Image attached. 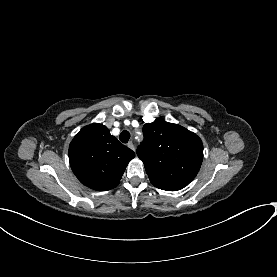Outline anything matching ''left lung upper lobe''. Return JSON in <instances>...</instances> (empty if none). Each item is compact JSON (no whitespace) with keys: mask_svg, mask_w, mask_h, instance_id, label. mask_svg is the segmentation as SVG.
I'll use <instances>...</instances> for the list:
<instances>
[{"mask_svg":"<svg viewBox=\"0 0 277 277\" xmlns=\"http://www.w3.org/2000/svg\"><path fill=\"white\" fill-rule=\"evenodd\" d=\"M144 141L137 148L150 182L177 191L197 175L203 160L201 139L188 129L157 118L143 126Z\"/></svg>","mask_w":277,"mask_h":277,"instance_id":"1","label":"left lung upper lobe"}]
</instances>
